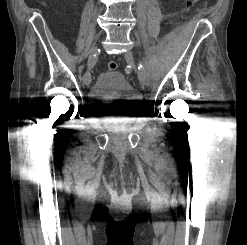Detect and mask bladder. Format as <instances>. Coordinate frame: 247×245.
Returning a JSON list of instances; mask_svg holds the SVG:
<instances>
[{
    "label": "bladder",
    "instance_id": "bladder-1",
    "mask_svg": "<svg viewBox=\"0 0 247 245\" xmlns=\"http://www.w3.org/2000/svg\"><path fill=\"white\" fill-rule=\"evenodd\" d=\"M88 98L97 112L132 111L140 104L138 92L124 74L118 71L101 73L91 86Z\"/></svg>",
    "mask_w": 247,
    "mask_h": 245
}]
</instances>
